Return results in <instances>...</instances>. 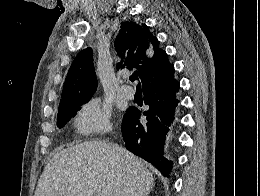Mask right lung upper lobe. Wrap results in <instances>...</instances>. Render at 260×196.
I'll use <instances>...</instances> for the list:
<instances>
[{"label": "right lung upper lobe", "mask_w": 260, "mask_h": 196, "mask_svg": "<svg viewBox=\"0 0 260 196\" xmlns=\"http://www.w3.org/2000/svg\"><path fill=\"white\" fill-rule=\"evenodd\" d=\"M114 45L121 57L117 69L134 68L142 84L158 80L174 70L166 52L159 48L157 38L145 24L142 28L135 22H122ZM96 88L92 50L86 48L77 55L68 71L59 110L78 99L92 96Z\"/></svg>", "instance_id": "cb5924a9"}]
</instances>
